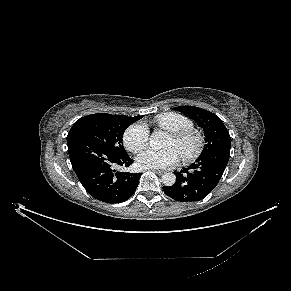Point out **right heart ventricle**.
<instances>
[{
    "label": "right heart ventricle",
    "mask_w": 291,
    "mask_h": 291,
    "mask_svg": "<svg viewBox=\"0 0 291 291\" xmlns=\"http://www.w3.org/2000/svg\"><path fill=\"white\" fill-rule=\"evenodd\" d=\"M154 123L157 128L168 132H176L193 128L194 125L193 121L189 117L176 112L159 114L154 118Z\"/></svg>",
    "instance_id": "right-heart-ventricle-1"
}]
</instances>
